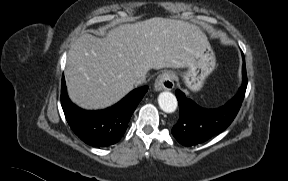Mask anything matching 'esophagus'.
<instances>
[{
    "label": "esophagus",
    "instance_id": "1",
    "mask_svg": "<svg viewBox=\"0 0 288 181\" xmlns=\"http://www.w3.org/2000/svg\"><path fill=\"white\" fill-rule=\"evenodd\" d=\"M156 91L172 90L174 88V75L172 72H163L160 74L154 84Z\"/></svg>",
    "mask_w": 288,
    "mask_h": 181
}]
</instances>
